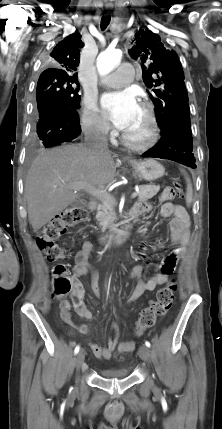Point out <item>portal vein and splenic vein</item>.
Returning <instances> with one entry per match:
<instances>
[{
    "mask_svg": "<svg viewBox=\"0 0 222 429\" xmlns=\"http://www.w3.org/2000/svg\"><path fill=\"white\" fill-rule=\"evenodd\" d=\"M74 189L77 190H86L88 191L92 196L98 198V199H110V200H115L112 196H110L109 194L106 193V191L104 189H98L95 188L93 186H91L90 184L86 183V182H78L75 185H73ZM138 195L137 192H133L131 195V198L134 199L136 198Z\"/></svg>",
    "mask_w": 222,
    "mask_h": 429,
    "instance_id": "portal-vein-and-splenic-vein-1",
    "label": "portal vein and splenic vein"
}]
</instances>
